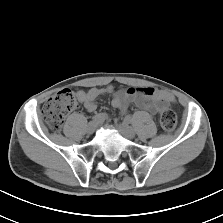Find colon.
I'll list each match as a JSON object with an SVG mask.
<instances>
[{
    "label": "colon",
    "mask_w": 223,
    "mask_h": 223,
    "mask_svg": "<svg viewBox=\"0 0 223 223\" xmlns=\"http://www.w3.org/2000/svg\"><path fill=\"white\" fill-rule=\"evenodd\" d=\"M77 101L74 93L69 89H64L52 96L42 108V117L46 124L53 130H59L66 115L74 110ZM160 124L166 133H171L177 123L175 112L166 108L160 113Z\"/></svg>",
    "instance_id": "1"
}]
</instances>
